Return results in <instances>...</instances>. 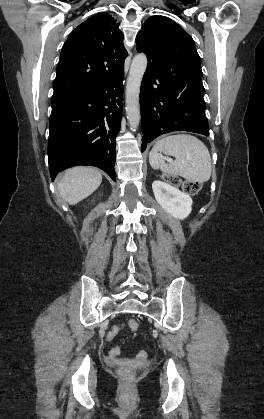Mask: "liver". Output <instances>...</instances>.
Segmentation results:
<instances>
[{"instance_id": "liver-1", "label": "liver", "mask_w": 264, "mask_h": 419, "mask_svg": "<svg viewBox=\"0 0 264 419\" xmlns=\"http://www.w3.org/2000/svg\"><path fill=\"white\" fill-rule=\"evenodd\" d=\"M102 174L90 167L78 166L66 170L58 183L60 196L75 205L91 195L101 184Z\"/></svg>"}]
</instances>
